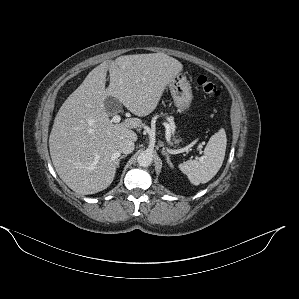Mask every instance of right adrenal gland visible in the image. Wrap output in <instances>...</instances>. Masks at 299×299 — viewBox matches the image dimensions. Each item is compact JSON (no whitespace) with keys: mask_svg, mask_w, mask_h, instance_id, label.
<instances>
[{"mask_svg":"<svg viewBox=\"0 0 299 299\" xmlns=\"http://www.w3.org/2000/svg\"><path fill=\"white\" fill-rule=\"evenodd\" d=\"M127 155H121L117 160V168H119L120 160L125 158Z\"/></svg>","mask_w":299,"mask_h":299,"instance_id":"1","label":"right adrenal gland"}]
</instances>
